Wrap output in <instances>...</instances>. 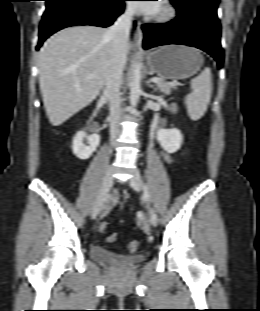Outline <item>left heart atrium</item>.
I'll return each instance as SVG.
<instances>
[{
  "label": "left heart atrium",
  "mask_w": 260,
  "mask_h": 311,
  "mask_svg": "<svg viewBox=\"0 0 260 311\" xmlns=\"http://www.w3.org/2000/svg\"><path fill=\"white\" fill-rule=\"evenodd\" d=\"M146 2H156V3L146 4L142 2H133L132 7L135 11L145 14H155L159 10L160 4H158V1H146Z\"/></svg>",
  "instance_id": "obj_1"
}]
</instances>
